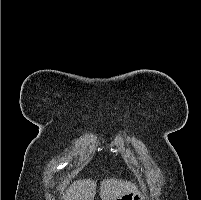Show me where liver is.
<instances>
[{
  "instance_id": "6515ba94",
  "label": "liver",
  "mask_w": 201,
  "mask_h": 200,
  "mask_svg": "<svg viewBox=\"0 0 201 200\" xmlns=\"http://www.w3.org/2000/svg\"><path fill=\"white\" fill-rule=\"evenodd\" d=\"M137 187L134 183L121 179H105L100 185V197L102 200H117L119 197L136 192ZM96 194V183L90 179L76 181L69 187L64 200H94Z\"/></svg>"
}]
</instances>
